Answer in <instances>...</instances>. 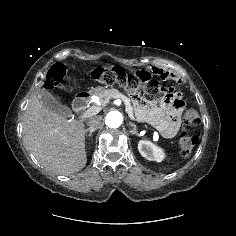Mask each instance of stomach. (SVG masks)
Instances as JSON below:
<instances>
[{
    "instance_id": "1",
    "label": "stomach",
    "mask_w": 236,
    "mask_h": 236,
    "mask_svg": "<svg viewBox=\"0 0 236 236\" xmlns=\"http://www.w3.org/2000/svg\"><path fill=\"white\" fill-rule=\"evenodd\" d=\"M102 91H104V88L103 87H100V86H98V87H95V88H93L90 92H89V94H95V95H98L99 93H101ZM86 96H88V93H78V97L77 98H79V97H86Z\"/></svg>"
}]
</instances>
